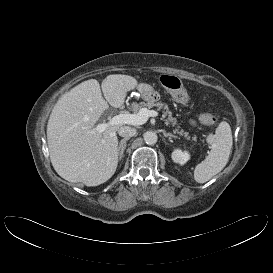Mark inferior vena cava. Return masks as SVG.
<instances>
[{
	"label": "inferior vena cava",
	"mask_w": 273,
	"mask_h": 273,
	"mask_svg": "<svg viewBox=\"0 0 273 273\" xmlns=\"http://www.w3.org/2000/svg\"><path fill=\"white\" fill-rule=\"evenodd\" d=\"M136 129L130 126H121L118 133L121 137L130 138L136 134Z\"/></svg>",
	"instance_id": "inferior-vena-cava-1"
}]
</instances>
